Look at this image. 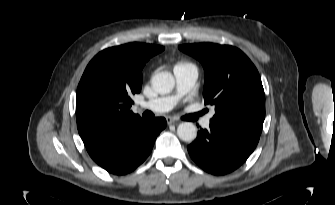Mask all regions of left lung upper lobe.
Listing matches in <instances>:
<instances>
[{
	"label": "left lung upper lobe",
	"mask_w": 335,
	"mask_h": 205,
	"mask_svg": "<svg viewBox=\"0 0 335 205\" xmlns=\"http://www.w3.org/2000/svg\"><path fill=\"white\" fill-rule=\"evenodd\" d=\"M205 70L204 101L215 107L211 120L260 135L265 119V94L260 75L238 48L214 43L180 45Z\"/></svg>",
	"instance_id": "obj_1"
}]
</instances>
